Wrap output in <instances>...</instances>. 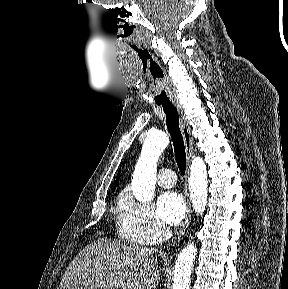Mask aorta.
<instances>
[{
    "mask_svg": "<svg viewBox=\"0 0 288 289\" xmlns=\"http://www.w3.org/2000/svg\"><path fill=\"white\" fill-rule=\"evenodd\" d=\"M169 140L162 132L150 133L142 147L132 179V192L142 202L154 199L156 187L157 161ZM189 192L193 208L197 215H203L208 197L207 167L202 158L195 157L191 164ZM197 254L194 243L184 247L177 256L172 289H190L192 267Z\"/></svg>",
    "mask_w": 288,
    "mask_h": 289,
    "instance_id": "1",
    "label": "aorta"
}]
</instances>
